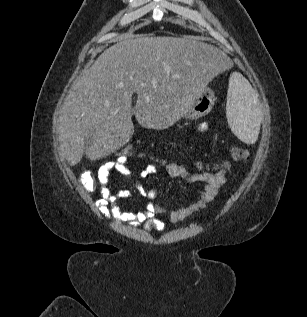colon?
I'll return each mask as SVG.
<instances>
[{"label":"colon","mask_w":307,"mask_h":317,"mask_svg":"<svg viewBox=\"0 0 307 317\" xmlns=\"http://www.w3.org/2000/svg\"><path fill=\"white\" fill-rule=\"evenodd\" d=\"M114 155L116 159H123L127 162H129L132 158L147 159L151 162V164H156L159 167H164L168 163H176L174 160L170 158L159 157L149 154L129 144L119 146L117 150L114 152ZM231 156L235 162L240 164H246L249 162L250 159V154L248 150L239 147H234L231 149ZM195 166L199 170L211 173H215L221 170L226 172L229 171L228 163L205 164L203 162H196ZM80 180L82 186L87 192L91 193L96 190L98 181L91 171L83 172Z\"/></svg>","instance_id":"colon-1"}]
</instances>
